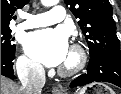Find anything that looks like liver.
<instances>
[{
  "label": "liver",
  "instance_id": "liver-1",
  "mask_svg": "<svg viewBox=\"0 0 121 94\" xmlns=\"http://www.w3.org/2000/svg\"><path fill=\"white\" fill-rule=\"evenodd\" d=\"M1 94H21V90L15 82L1 76Z\"/></svg>",
  "mask_w": 121,
  "mask_h": 94
}]
</instances>
